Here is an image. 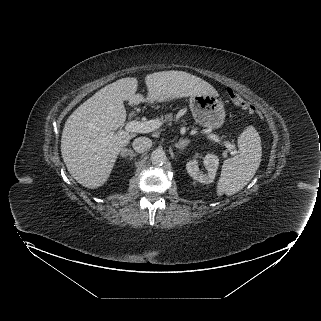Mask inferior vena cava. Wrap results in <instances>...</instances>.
<instances>
[{
    "mask_svg": "<svg viewBox=\"0 0 321 321\" xmlns=\"http://www.w3.org/2000/svg\"><path fill=\"white\" fill-rule=\"evenodd\" d=\"M132 146L136 152L142 153L150 149L152 141L146 137H138L133 141Z\"/></svg>",
    "mask_w": 321,
    "mask_h": 321,
    "instance_id": "602c4592",
    "label": "inferior vena cava"
}]
</instances>
